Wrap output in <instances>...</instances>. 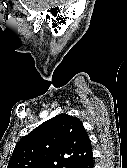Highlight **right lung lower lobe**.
<instances>
[{
    "label": "right lung lower lobe",
    "instance_id": "right-lung-lower-lobe-1",
    "mask_svg": "<svg viewBox=\"0 0 127 168\" xmlns=\"http://www.w3.org/2000/svg\"><path fill=\"white\" fill-rule=\"evenodd\" d=\"M75 168H93V157L91 156L90 158H88L84 162L75 166Z\"/></svg>",
    "mask_w": 127,
    "mask_h": 168
}]
</instances>
